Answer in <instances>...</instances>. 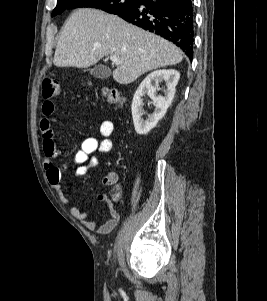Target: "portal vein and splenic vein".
<instances>
[{
    "mask_svg": "<svg viewBox=\"0 0 267 301\" xmlns=\"http://www.w3.org/2000/svg\"><path fill=\"white\" fill-rule=\"evenodd\" d=\"M110 60L116 64V65H120L121 64V61L120 59L116 56V55H110Z\"/></svg>",
    "mask_w": 267,
    "mask_h": 301,
    "instance_id": "obj_1",
    "label": "portal vein and splenic vein"
}]
</instances>
